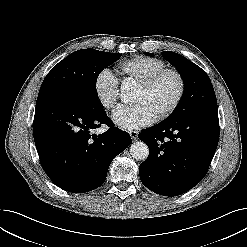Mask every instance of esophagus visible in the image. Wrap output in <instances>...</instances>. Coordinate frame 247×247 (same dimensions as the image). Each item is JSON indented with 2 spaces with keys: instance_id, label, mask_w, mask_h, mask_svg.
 <instances>
[{
  "instance_id": "esophagus-1",
  "label": "esophagus",
  "mask_w": 247,
  "mask_h": 247,
  "mask_svg": "<svg viewBox=\"0 0 247 247\" xmlns=\"http://www.w3.org/2000/svg\"><path fill=\"white\" fill-rule=\"evenodd\" d=\"M129 134H130L133 141H136L138 139V131L131 130V131H129Z\"/></svg>"
}]
</instances>
